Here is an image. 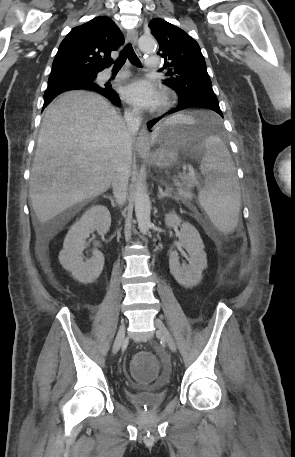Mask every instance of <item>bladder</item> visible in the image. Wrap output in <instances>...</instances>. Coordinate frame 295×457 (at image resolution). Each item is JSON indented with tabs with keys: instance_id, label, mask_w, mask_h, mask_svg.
Returning <instances> with one entry per match:
<instances>
[{
	"instance_id": "31cf9c89",
	"label": "bladder",
	"mask_w": 295,
	"mask_h": 457,
	"mask_svg": "<svg viewBox=\"0 0 295 457\" xmlns=\"http://www.w3.org/2000/svg\"><path fill=\"white\" fill-rule=\"evenodd\" d=\"M155 352L157 353V360L161 361V368L164 366L162 369L164 375L161 373L158 375V378H154V383H157V388H159L163 383L170 382L175 369L172 366V361L168 360V353L164 352V347L162 345H157L155 347ZM167 395L166 391L158 389L129 393L128 397L133 403L134 411H157L158 407L166 400Z\"/></svg>"
}]
</instances>
